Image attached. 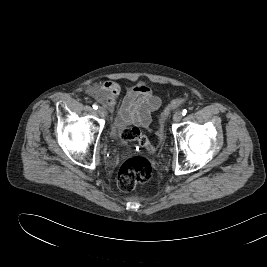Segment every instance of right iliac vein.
I'll list each match as a JSON object with an SVG mask.
<instances>
[{"label": "right iliac vein", "mask_w": 267, "mask_h": 267, "mask_svg": "<svg viewBox=\"0 0 267 267\" xmlns=\"http://www.w3.org/2000/svg\"><path fill=\"white\" fill-rule=\"evenodd\" d=\"M98 113L103 118L107 116V110L104 107H99Z\"/></svg>", "instance_id": "obj_1"}]
</instances>
